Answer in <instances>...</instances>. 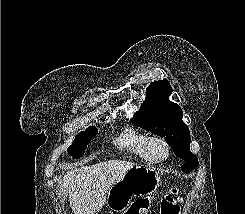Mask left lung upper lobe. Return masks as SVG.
<instances>
[{
  "label": "left lung upper lobe",
  "mask_w": 245,
  "mask_h": 214,
  "mask_svg": "<svg viewBox=\"0 0 245 214\" xmlns=\"http://www.w3.org/2000/svg\"><path fill=\"white\" fill-rule=\"evenodd\" d=\"M172 93L168 80H159L147 88V97L131 121L165 139L175 155L185 161L181 167L189 173L198 166L197 157L190 151V132L183 122L181 107L169 101Z\"/></svg>",
  "instance_id": "5c2ea615"
}]
</instances>
